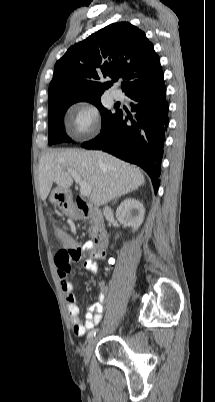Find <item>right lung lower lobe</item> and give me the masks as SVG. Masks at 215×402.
Masks as SVG:
<instances>
[{"instance_id":"right-lung-lower-lobe-1","label":"right lung lower lobe","mask_w":215,"mask_h":402,"mask_svg":"<svg viewBox=\"0 0 215 402\" xmlns=\"http://www.w3.org/2000/svg\"><path fill=\"white\" fill-rule=\"evenodd\" d=\"M165 92L164 80L131 91L127 96L136 115L127 117L117 111L95 139L81 144L86 149L103 150L140 166L152 179L155 193L159 188L165 131L169 124Z\"/></svg>"}]
</instances>
